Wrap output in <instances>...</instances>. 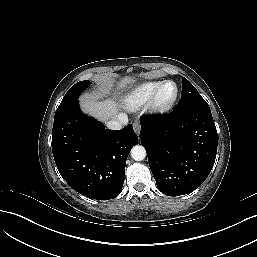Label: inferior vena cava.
Returning a JSON list of instances; mask_svg holds the SVG:
<instances>
[{
  "label": "inferior vena cava",
  "mask_w": 257,
  "mask_h": 257,
  "mask_svg": "<svg viewBox=\"0 0 257 257\" xmlns=\"http://www.w3.org/2000/svg\"><path fill=\"white\" fill-rule=\"evenodd\" d=\"M128 123V116L126 113H119L115 120L107 123V128L111 130H119Z\"/></svg>",
  "instance_id": "obj_1"
}]
</instances>
